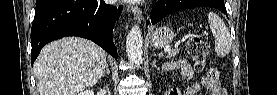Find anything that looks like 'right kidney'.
I'll return each mask as SVG.
<instances>
[{
	"label": "right kidney",
	"instance_id": "right-kidney-1",
	"mask_svg": "<svg viewBox=\"0 0 277 95\" xmlns=\"http://www.w3.org/2000/svg\"><path fill=\"white\" fill-rule=\"evenodd\" d=\"M79 95H94V92L92 90H85L79 93Z\"/></svg>",
	"mask_w": 277,
	"mask_h": 95
}]
</instances>
